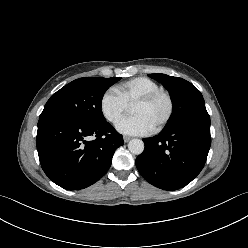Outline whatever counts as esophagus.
<instances>
[{
	"mask_svg": "<svg viewBox=\"0 0 248 248\" xmlns=\"http://www.w3.org/2000/svg\"><path fill=\"white\" fill-rule=\"evenodd\" d=\"M130 139H131V137H129V136H124L123 137V140H124L125 143L129 142Z\"/></svg>",
	"mask_w": 248,
	"mask_h": 248,
	"instance_id": "1",
	"label": "esophagus"
}]
</instances>
